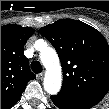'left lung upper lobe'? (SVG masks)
I'll return each instance as SVG.
<instances>
[{
    "instance_id": "obj_1",
    "label": "left lung upper lobe",
    "mask_w": 109,
    "mask_h": 109,
    "mask_svg": "<svg viewBox=\"0 0 109 109\" xmlns=\"http://www.w3.org/2000/svg\"><path fill=\"white\" fill-rule=\"evenodd\" d=\"M55 47L63 69L61 90L99 103L109 90V45L95 28L61 19L40 29Z\"/></svg>"
}]
</instances>
